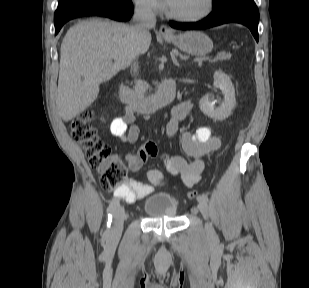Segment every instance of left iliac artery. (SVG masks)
Instances as JSON below:
<instances>
[{
	"instance_id": "1",
	"label": "left iliac artery",
	"mask_w": 309,
	"mask_h": 288,
	"mask_svg": "<svg viewBox=\"0 0 309 288\" xmlns=\"http://www.w3.org/2000/svg\"><path fill=\"white\" fill-rule=\"evenodd\" d=\"M201 200H204V201H208V197H207V195H205V194H202V195H200L199 197H198V201H201Z\"/></svg>"
}]
</instances>
